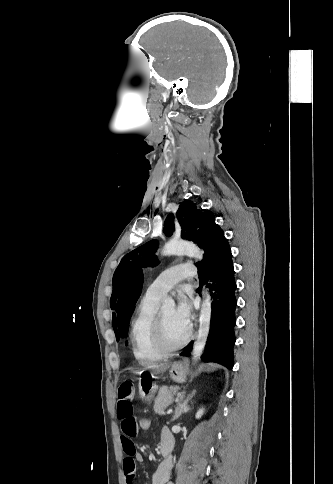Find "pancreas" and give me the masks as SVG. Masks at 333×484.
I'll return each mask as SVG.
<instances>
[{"instance_id": "cf45deb5", "label": "pancreas", "mask_w": 333, "mask_h": 484, "mask_svg": "<svg viewBox=\"0 0 333 484\" xmlns=\"http://www.w3.org/2000/svg\"><path fill=\"white\" fill-rule=\"evenodd\" d=\"M179 390L178 387H162L159 390L154 404V412L164 415V410L173 402L174 395Z\"/></svg>"}]
</instances>
